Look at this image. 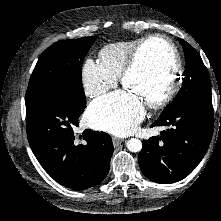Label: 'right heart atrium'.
Returning <instances> with one entry per match:
<instances>
[{"label": "right heart atrium", "mask_w": 221, "mask_h": 221, "mask_svg": "<svg viewBox=\"0 0 221 221\" xmlns=\"http://www.w3.org/2000/svg\"><path fill=\"white\" fill-rule=\"evenodd\" d=\"M82 81L85 93L90 98H97L116 84V78L109 77L99 64L88 60L82 67Z\"/></svg>", "instance_id": "1"}]
</instances>
